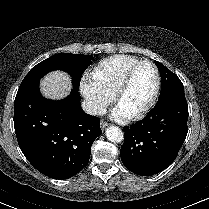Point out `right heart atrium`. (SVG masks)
Segmentation results:
<instances>
[{
	"label": "right heart atrium",
	"mask_w": 209,
	"mask_h": 209,
	"mask_svg": "<svg viewBox=\"0 0 209 209\" xmlns=\"http://www.w3.org/2000/svg\"><path fill=\"white\" fill-rule=\"evenodd\" d=\"M80 88L94 114H102L114 99V94L93 78L83 77Z\"/></svg>",
	"instance_id": "right-heart-atrium-1"
}]
</instances>
